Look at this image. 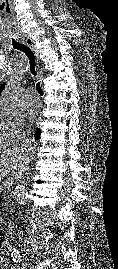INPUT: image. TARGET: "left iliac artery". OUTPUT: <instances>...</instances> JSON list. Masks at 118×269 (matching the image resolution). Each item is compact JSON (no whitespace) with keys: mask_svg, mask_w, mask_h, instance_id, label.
<instances>
[{"mask_svg":"<svg viewBox=\"0 0 118 269\" xmlns=\"http://www.w3.org/2000/svg\"><path fill=\"white\" fill-rule=\"evenodd\" d=\"M12 258H13V261H14L15 263H18V262L21 261V256H20V254H19L18 252L12 254Z\"/></svg>","mask_w":118,"mask_h":269,"instance_id":"obj_1","label":"left iliac artery"}]
</instances>
